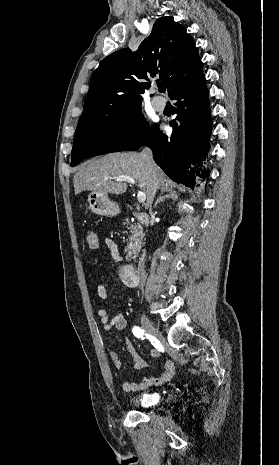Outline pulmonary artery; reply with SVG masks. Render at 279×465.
<instances>
[{"label":"pulmonary artery","mask_w":279,"mask_h":465,"mask_svg":"<svg viewBox=\"0 0 279 465\" xmlns=\"http://www.w3.org/2000/svg\"><path fill=\"white\" fill-rule=\"evenodd\" d=\"M152 103L157 111H163L165 109L166 101L161 97H154Z\"/></svg>","instance_id":"e3ab8cb5"}]
</instances>
